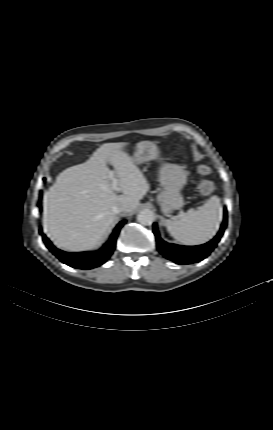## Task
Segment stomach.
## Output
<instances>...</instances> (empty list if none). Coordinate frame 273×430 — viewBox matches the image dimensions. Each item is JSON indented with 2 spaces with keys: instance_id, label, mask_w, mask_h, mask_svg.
Returning a JSON list of instances; mask_svg holds the SVG:
<instances>
[{
  "instance_id": "stomach-1",
  "label": "stomach",
  "mask_w": 273,
  "mask_h": 430,
  "mask_svg": "<svg viewBox=\"0 0 273 430\" xmlns=\"http://www.w3.org/2000/svg\"><path fill=\"white\" fill-rule=\"evenodd\" d=\"M159 158V148L151 141H141L137 144L132 157L134 164H141ZM187 171L178 164L163 163L159 171V181L162 191L157 196V201L164 214L178 210L184 205L181 190L187 182Z\"/></svg>"
}]
</instances>
